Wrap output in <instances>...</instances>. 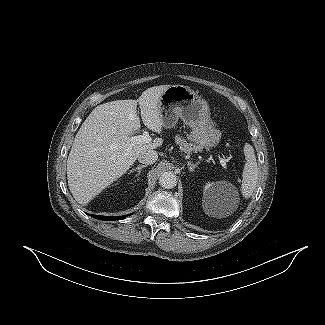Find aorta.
<instances>
[{
    "label": "aorta",
    "instance_id": "1",
    "mask_svg": "<svg viewBox=\"0 0 325 325\" xmlns=\"http://www.w3.org/2000/svg\"><path fill=\"white\" fill-rule=\"evenodd\" d=\"M159 184L165 189H172L177 184V176L172 171L163 172L160 175Z\"/></svg>",
    "mask_w": 325,
    "mask_h": 325
}]
</instances>
